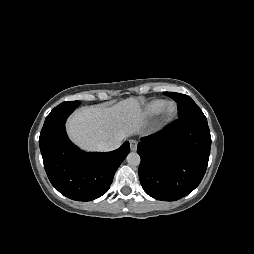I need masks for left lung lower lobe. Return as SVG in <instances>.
<instances>
[{"label": "left lung lower lobe", "instance_id": "obj_1", "mask_svg": "<svg viewBox=\"0 0 254 254\" xmlns=\"http://www.w3.org/2000/svg\"><path fill=\"white\" fill-rule=\"evenodd\" d=\"M211 136L207 119L179 118L154 135L143 137L139 177L144 191L162 201H175L191 193L208 165Z\"/></svg>", "mask_w": 254, "mask_h": 254}]
</instances>
